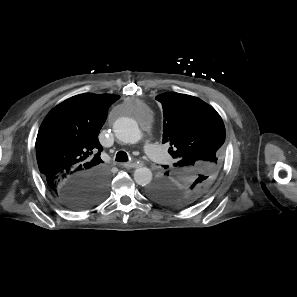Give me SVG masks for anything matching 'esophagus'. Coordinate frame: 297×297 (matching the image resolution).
<instances>
[{
  "instance_id": "obj_1",
  "label": "esophagus",
  "mask_w": 297,
  "mask_h": 297,
  "mask_svg": "<svg viewBox=\"0 0 297 297\" xmlns=\"http://www.w3.org/2000/svg\"><path fill=\"white\" fill-rule=\"evenodd\" d=\"M123 167L125 168H137L139 167L140 165L136 162H126V163H122L121 164Z\"/></svg>"
}]
</instances>
